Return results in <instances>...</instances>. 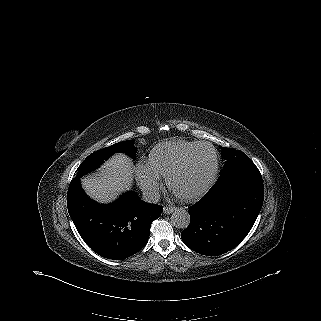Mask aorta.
I'll use <instances>...</instances> for the list:
<instances>
[{"instance_id": "obj_1", "label": "aorta", "mask_w": 321, "mask_h": 321, "mask_svg": "<svg viewBox=\"0 0 321 321\" xmlns=\"http://www.w3.org/2000/svg\"><path fill=\"white\" fill-rule=\"evenodd\" d=\"M190 219L188 211L182 208L176 209L171 216L172 225L178 229L187 228L190 224Z\"/></svg>"}]
</instances>
